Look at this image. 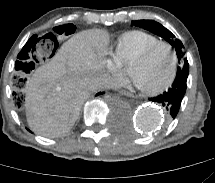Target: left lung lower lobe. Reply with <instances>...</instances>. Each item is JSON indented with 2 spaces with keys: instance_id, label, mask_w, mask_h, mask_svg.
I'll list each match as a JSON object with an SVG mask.
<instances>
[{
  "instance_id": "0a47b994",
  "label": "left lung lower lobe",
  "mask_w": 215,
  "mask_h": 183,
  "mask_svg": "<svg viewBox=\"0 0 215 183\" xmlns=\"http://www.w3.org/2000/svg\"><path fill=\"white\" fill-rule=\"evenodd\" d=\"M187 77L188 73L177 74L175 81L167 91L149 99L165 107L169 121L174 119L179 112L182 99L186 92Z\"/></svg>"
}]
</instances>
